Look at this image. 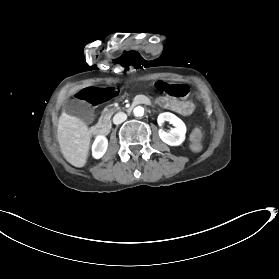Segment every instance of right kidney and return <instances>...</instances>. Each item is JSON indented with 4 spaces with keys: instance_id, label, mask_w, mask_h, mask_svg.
I'll return each mask as SVG.
<instances>
[{
    "instance_id": "1",
    "label": "right kidney",
    "mask_w": 279,
    "mask_h": 279,
    "mask_svg": "<svg viewBox=\"0 0 279 279\" xmlns=\"http://www.w3.org/2000/svg\"><path fill=\"white\" fill-rule=\"evenodd\" d=\"M108 140L105 136H97L92 145V155L94 158H101L107 150Z\"/></svg>"
}]
</instances>
